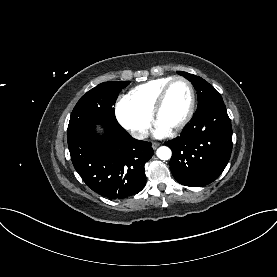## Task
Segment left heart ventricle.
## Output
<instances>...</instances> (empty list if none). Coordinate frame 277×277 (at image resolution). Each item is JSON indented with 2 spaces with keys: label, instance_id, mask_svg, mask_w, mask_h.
Segmentation results:
<instances>
[{
  "label": "left heart ventricle",
  "instance_id": "b2bd125f",
  "mask_svg": "<svg viewBox=\"0 0 277 277\" xmlns=\"http://www.w3.org/2000/svg\"><path fill=\"white\" fill-rule=\"evenodd\" d=\"M190 104V91L188 86L178 81L174 83L160 111L158 122L170 129L176 126L186 115Z\"/></svg>",
  "mask_w": 277,
  "mask_h": 277
}]
</instances>
